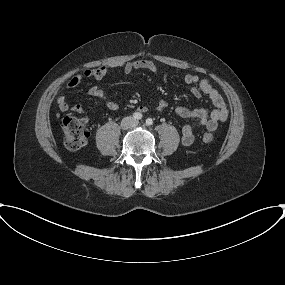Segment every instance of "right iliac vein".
Masks as SVG:
<instances>
[{"mask_svg": "<svg viewBox=\"0 0 285 285\" xmlns=\"http://www.w3.org/2000/svg\"><path fill=\"white\" fill-rule=\"evenodd\" d=\"M133 121L131 118H124L121 122V128L126 130L132 125Z\"/></svg>", "mask_w": 285, "mask_h": 285, "instance_id": "obj_1", "label": "right iliac vein"}]
</instances>
